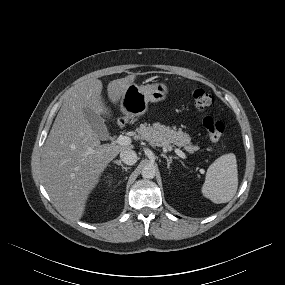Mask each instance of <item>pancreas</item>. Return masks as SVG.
<instances>
[{
	"mask_svg": "<svg viewBox=\"0 0 285 285\" xmlns=\"http://www.w3.org/2000/svg\"><path fill=\"white\" fill-rule=\"evenodd\" d=\"M143 140L152 146H158L167 150H172L174 145L179 148L184 147L188 152H194L197 146H192L190 136L182 130L171 129L168 126L154 123L152 126L141 124L137 130Z\"/></svg>",
	"mask_w": 285,
	"mask_h": 285,
	"instance_id": "obj_1",
	"label": "pancreas"
}]
</instances>
